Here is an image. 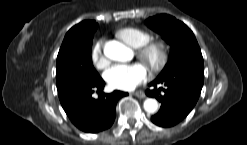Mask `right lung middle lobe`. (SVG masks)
Here are the masks:
<instances>
[{"label":"right lung middle lobe","instance_id":"right-lung-middle-lobe-1","mask_svg":"<svg viewBox=\"0 0 247 145\" xmlns=\"http://www.w3.org/2000/svg\"><path fill=\"white\" fill-rule=\"evenodd\" d=\"M92 33L66 34L57 56V89L100 78L91 60Z\"/></svg>","mask_w":247,"mask_h":145}]
</instances>
